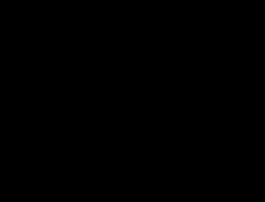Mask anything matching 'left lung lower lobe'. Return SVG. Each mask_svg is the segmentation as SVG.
I'll return each instance as SVG.
<instances>
[{
    "label": "left lung lower lobe",
    "instance_id": "0a47b994",
    "mask_svg": "<svg viewBox=\"0 0 265 202\" xmlns=\"http://www.w3.org/2000/svg\"><path fill=\"white\" fill-rule=\"evenodd\" d=\"M151 94L165 109L162 115L155 118L154 125L165 143L175 152L196 154L200 144L215 138V124L204 130L194 126L199 104H185L179 107V100H182L180 87L158 84L152 88Z\"/></svg>",
    "mask_w": 265,
    "mask_h": 202
}]
</instances>
